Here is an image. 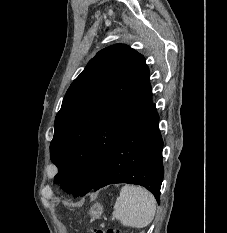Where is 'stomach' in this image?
<instances>
[{"label": "stomach", "mask_w": 227, "mask_h": 233, "mask_svg": "<svg viewBox=\"0 0 227 233\" xmlns=\"http://www.w3.org/2000/svg\"><path fill=\"white\" fill-rule=\"evenodd\" d=\"M102 211H103L102 206L98 203L95 204L89 212L91 221L98 219L101 216Z\"/></svg>", "instance_id": "0dacf381"}]
</instances>
